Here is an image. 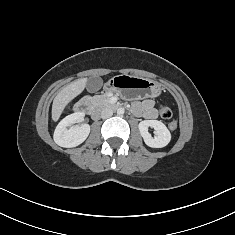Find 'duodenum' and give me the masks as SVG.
Masks as SVG:
<instances>
[{
	"instance_id": "obj_1",
	"label": "duodenum",
	"mask_w": 235,
	"mask_h": 235,
	"mask_svg": "<svg viewBox=\"0 0 235 235\" xmlns=\"http://www.w3.org/2000/svg\"><path fill=\"white\" fill-rule=\"evenodd\" d=\"M75 111L78 113H91L93 116L97 115V113L92 108V103L90 98H84L80 100L75 105Z\"/></svg>"
}]
</instances>
